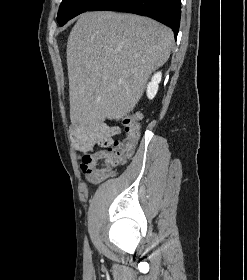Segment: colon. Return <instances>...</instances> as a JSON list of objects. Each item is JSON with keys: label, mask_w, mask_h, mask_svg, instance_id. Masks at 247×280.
Returning <instances> with one entry per match:
<instances>
[{"label": "colon", "mask_w": 247, "mask_h": 280, "mask_svg": "<svg viewBox=\"0 0 247 280\" xmlns=\"http://www.w3.org/2000/svg\"><path fill=\"white\" fill-rule=\"evenodd\" d=\"M126 137L123 140H115L102 150L84 156L82 170L84 173L97 178H105L111 175V168L128 159L140 135V116L132 115L124 120Z\"/></svg>", "instance_id": "obj_1"}]
</instances>
